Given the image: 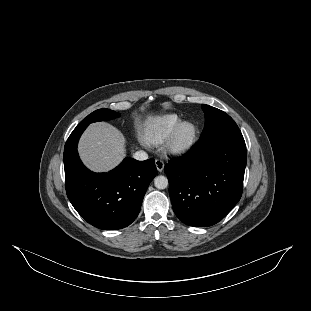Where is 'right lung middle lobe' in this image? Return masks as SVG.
<instances>
[{
  "label": "right lung middle lobe",
  "instance_id": "obj_1",
  "mask_svg": "<svg viewBox=\"0 0 311 311\" xmlns=\"http://www.w3.org/2000/svg\"><path fill=\"white\" fill-rule=\"evenodd\" d=\"M118 116L119 113H116L115 111H112L110 109L102 108L89 114L78 125H89L92 122L110 120L117 118Z\"/></svg>",
  "mask_w": 311,
  "mask_h": 311
}]
</instances>
